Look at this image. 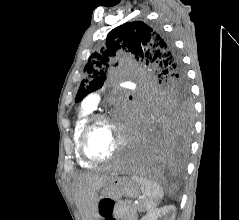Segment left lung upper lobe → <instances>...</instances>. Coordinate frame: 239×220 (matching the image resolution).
Segmentation results:
<instances>
[{"instance_id": "left-lung-upper-lobe-1", "label": "left lung upper lobe", "mask_w": 239, "mask_h": 220, "mask_svg": "<svg viewBox=\"0 0 239 220\" xmlns=\"http://www.w3.org/2000/svg\"><path fill=\"white\" fill-rule=\"evenodd\" d=\"M120 49H127L137 60L153 67L160 78L159 85L147 97L146 108L172 112L182 124L189 126L193 105L181 59L172 42L158 28L142 21L127 22L108 34L106 46L92 54L85 65V78L75 102L102 87L109 61Z\"/></svg>"}]
</instances>
